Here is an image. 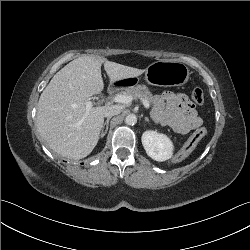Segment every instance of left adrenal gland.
<instances>
[{"instance_id":"left-adrenal-gland-1","label":"left adrenal gland","mask_w":250,"mask_h":250,"mask_svg":"<svg viewBox=\"0 0 250 250\" xmlns=\"http://www.w3.org/2000/svg\"><path fill=\"white\" fill-rule=\"evenodd\" d=\"M145 121H146V122H149V119H148V118H145Z\"/></svg>"}]
</instances>
